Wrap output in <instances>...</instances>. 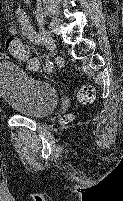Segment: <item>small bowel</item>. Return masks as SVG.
I'll return each mask as SVG.
<instances>
[{
  "mask_svg": "<svg viewBox=\"0 0 123 201\" xmlns=\"http://www.w3.org/2000/svg\"><path fill=\"white\" fill-rule=\"evenodd\" d=\"M8 33L10 35H16L18 33V29L17 26L15 24H10L8 27ZM0 60H9V57L7 55H5L4 53L0 52ZM37 66L33 69H36Z\"/></svg>",
  "mask_w": 123,
  "mask_h": 201,
  "instance_id": "1",
  "label": "small bowel"
}]
</instances>
